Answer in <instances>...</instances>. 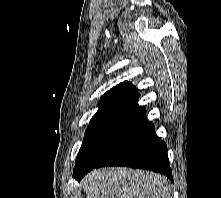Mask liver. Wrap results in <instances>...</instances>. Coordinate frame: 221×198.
Masks as SVG:
<instances>
[{
    "mask_svg": "<svg viewBox=\"0 0 221 198\" xmlns=\"http://www.w3.org/2000/svg\"><path fill=\"white\" fill-rule=\"evenodd\" d=\"M87 198H171L165 177L139 169L99 168L85 176Z\"/></svg>",
    "mask_w": 221,
    "mask_h": 198,
    "instance_id": "1",
    "label": "liver"
}]
</instances>
